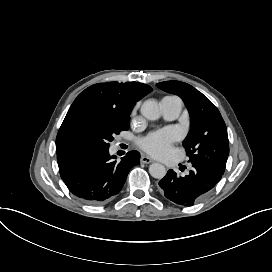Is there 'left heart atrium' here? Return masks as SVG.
<instances>
[{"mask_svg":"<svg viewBox=\"0 0 272 272\" xmlns=\"http://www.w3.org/2000/svg\"><path fill=\"white\" fill-rule=\"evenodd\" d=\"M172 141L171 132L163 129L145 139L141 146L153 156H163L170 150Z\"/></svg>","mask_w":272,"mask_h":272,"instance_id":"1","label":"left heart atrium"}]
</instances>
